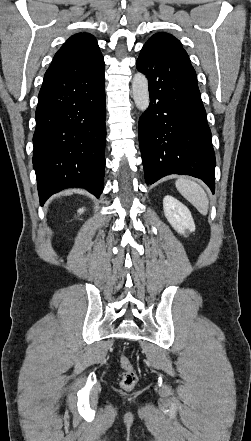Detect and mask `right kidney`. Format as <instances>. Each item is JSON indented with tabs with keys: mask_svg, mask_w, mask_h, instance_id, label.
<instances>
[{
	"mask_svg": "<svg viewBox=\"0 0 251 441\" xmlns=\"http://www.w3.org/2000/svg\"><path fill=\"white\" fill-rule=\"evenodd\" d=\"M83 212H84V208H81V209L78 210V213H79V214H81V213H83Z\"/></svg>",
	"mask_w": 251,
	"mask_h": 441,
	"instance_id": "obj_1",
	"label": "right kidney"
}]
</instances>
